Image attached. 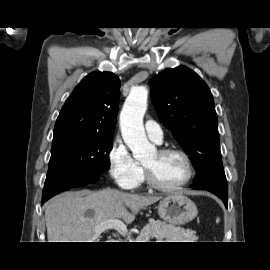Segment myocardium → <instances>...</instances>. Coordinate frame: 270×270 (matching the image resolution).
Wrapping results in <instances>:
<instances>
[{"mask_svg":"<svg viewBox=\"0 0 270 270\" xmlns=\"http://www.w3.org/2000/svg\"><path fill=\"white\" fill-rule=\"evenodd\" d=\"M157 152L160 155H164V154H177V155H179L185 164L186 176L181 182H179L175 185L164 186V185L157 183L154 180L150 170L145 165H143L144 176H145V180H146V183L148 184V186L151 187L152 189L160 191V192H174V191L180 190L183 187H185L186 185H188L189 182L193 178L194 169H193L192 161H191L189 155L187 154V152L184 151L183 149L177 148V147H161V148L157 149Z\"/></svg>","mask_w":270,"mask_h":270,"instance_id":"myocardium-1","label":"myocardium"}]
</instances>
